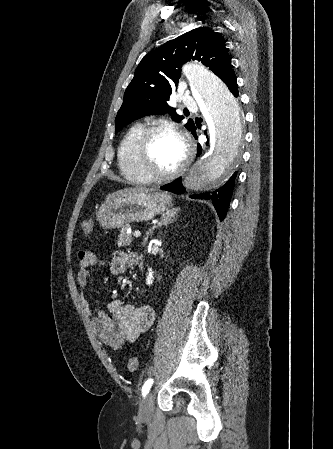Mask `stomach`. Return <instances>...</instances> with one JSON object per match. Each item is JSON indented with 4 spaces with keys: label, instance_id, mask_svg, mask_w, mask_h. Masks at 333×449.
Masks as SVG:
<instances>
[{
    "label": "stomach",
    "instance_id": "stomach-1",
    "mask_svg": "<svg viewBox=\"0 0 333 449\" xmlns=\"http://www.w3.org/2000/svg\"><path fill=\"white\" fill-rule=\"evenodd\" d=\"M171 197L163 192H130L106 200L96 214L103 228H121L131 222L151 220L168 210Z\"/></svg>",
    "mask_w": 333,
    "mask_h": 449
}]
</instances>
